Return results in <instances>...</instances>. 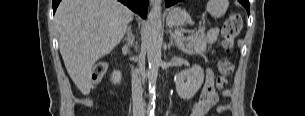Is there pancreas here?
Masks as SVG:
<instances>
[{"label":"pancreas","mask_w":305,"mask_h":116,"mask_svg":"<svg viewBox=\"0 0 305 116\" xmlns=\"http://www.w3.org/2000/svg\"><path fill=\"white\" fill-rule=\"evenodd\" d=\"M180 41H184V38H180ZM211 40L205 35L204 32L195 35L190 40H188V43L185 45H180L182 50L188 54V55H204L207 43H209Z\"/></svg>","instance_id":"cf45deb5"}]
</instances>
